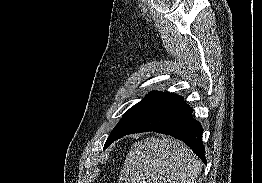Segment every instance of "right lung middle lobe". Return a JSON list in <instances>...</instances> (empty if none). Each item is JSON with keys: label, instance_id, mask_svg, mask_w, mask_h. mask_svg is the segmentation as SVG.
Segmentation results:
<instances>
[{"label": "right lung middle lobe", "instance_id": "1", "mask_svg": "<svg viewBox=\"0 0 262 183\" xmlns=\"http://www.w3.org/2000/svg\"><path fill=\"white\" fill-rule=\"evenodd\" d=\"M156 95V92H150L145 96L140 102L131 107L124 115L119 123L115 126L111 132L109 138L107 139L105 145L111 144L115 141L124 129L141 113V111L147 106L150 100Z\"/></svg>", "mask_w": 262, "mask_h": 183}]
</instances>
